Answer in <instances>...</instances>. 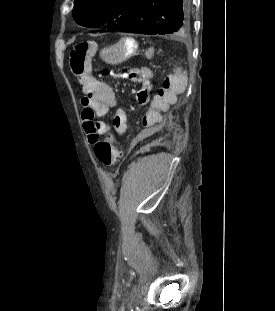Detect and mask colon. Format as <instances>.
Returning a JSON list of instances; mask_svg holds the SVG:
<instances>
[{"mask_svg": "<svg viewBox=\"0 0 275 311\" xmlns=\"http://www.w3.org/2000/svg\"><path fill=\"white\" fill-rule=\"evenodd\" d=\"M95 52V44L92 41L77 43L70 53V67L73 74L81 79L90 69V60ZM158 123V122H157ZM94 143V155L103 166H111L121 159V152L114 146L109 137L95 135L91 137Z\"/></svg>", "mask_w": 275, "mask_h": 311, "instance_id": "obj_1", "label": "colon"}]
</instances>
